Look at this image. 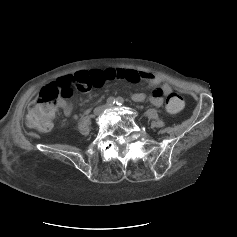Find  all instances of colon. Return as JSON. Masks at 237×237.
<instances>
[{
	"label": "colon",
	"instance_id": "5ec220e1",
	"mask_svg": "<svg viewBox=\"0 0 237 237\" xmlns=\"http://www.w3.org/2000/svg\"><path fill=\"white\" fill-rule=\"evenodd\" d=\"M103 83L104 78L100 72L82 71L43 87L29 105L27 125L39 132H48L57 107L72 96L73 87L88 91L91 87ZM183 105V98L178 93L172 92L168 95L166 109L169 113H178Z\"/></svg>",
	"mask_w": 237,
	"mask_h": 237
}]
</instances>
